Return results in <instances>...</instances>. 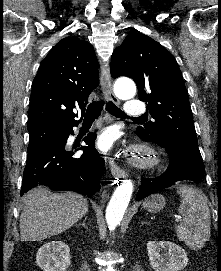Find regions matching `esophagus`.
I'll return each instance as SVG.
<instances>
[{"mask_svg": "<svg viewBox=\"0 0 221 271\" xmlns=\"http://www.w3.org/2000/svg\"><path fill=\"white\" fill-rule=\"evenodd\" d=\"M100 85L105 96L111 99L114 103L119 104L118 98L114 95L112 91L111 75L108 66H102L100 74ZM110 170L113 176L125 178L127 173L122 170L118 165L114 163L113 160H109Z\"/></svg>", "mask_w": 221, "mask_h": 271, "instance_id": "34e87169", "label": "esophagus"}]
</instances>
